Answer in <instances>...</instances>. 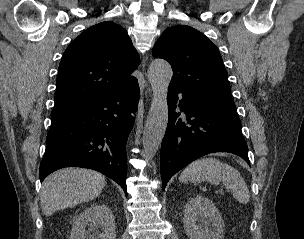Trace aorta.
Segmentation results:
<instances>
[{
    "label": "aorta",
    "mask_w": 304,
    "mask_h": 239,
    "mask_svg": "<svg viewBox=\"0 0 304 239\" xmlns=\"http://www.w3.org/2000/svg\"><path fill=\"white\" fill-rule=\"evenodd\" d=\"M170 64L162 59L151 62L148 80L153 98L143 132V156L148 161L159 149L168 123L167 92L172 79Z\"/></svg>",
    "instance_id": "obj_1"
}]
</instances>
